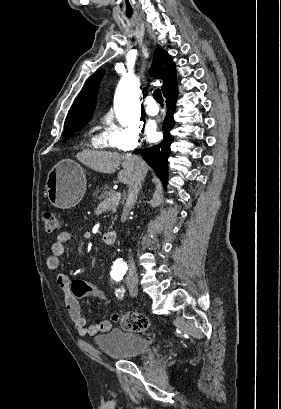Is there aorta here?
Here are the masks:
<instances>
[{
	"mask_svg": "<svg viewBox=\"0 0 281 409\" xmlns=\"http://www.w3.org/2000/svg\"><path fill=\"white\" fill-rule=\"evenodd\" d=\"M137 101V82L131 76H126L120 83L114 102L115 114L122 125L134 122Z\"/></svg>",
	"mask_w": 281,
	"mask_h": 409,
	"instance_id": "1",
	"label": "aorta"
}]
</instances>
